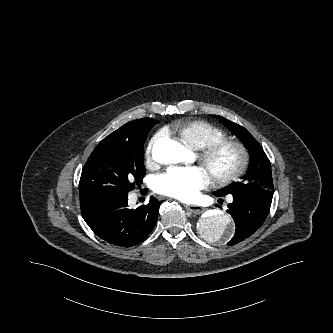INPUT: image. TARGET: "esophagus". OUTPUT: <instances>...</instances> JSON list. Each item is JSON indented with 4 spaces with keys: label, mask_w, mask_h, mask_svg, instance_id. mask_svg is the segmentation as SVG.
Masks as SVG:
<instances>
[{
    "label": "esophagus",
    "mask_w": 333,
    "mask_h": 333,
    "mask_svg": "<svg viewBox=\"0 0 333 333\" xmlns=\"http://www.w3.org/2000/svg\"><path fill=\"white\" fill-rule=\"evenodd\" d=\"M184 207L191 213L195 215L202 214L204 212V208L198 206V205H184Z\"/></svg>",
    "instance_id": "obj_1"
}]
</instances>
